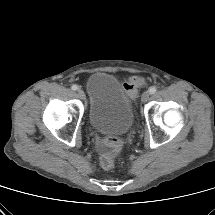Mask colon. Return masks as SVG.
Segmentation results:
<instances>
[{"mask_svg":"<svg viewBox=\"0 0 215 215\" xmlns=\"http://www.w3.org/2000/svg\"><path fill=\"white\" fill-rule=\"evenodd\" d=\"M143 81L139 77H132L123 84V88L130 98H135ZM108 151L100 157V165L103 169L110 170L115 165V158L122 148V141L117 137H108L104 141Z\"/></svg>","mask_w":215,"mask_h":215,"instance_id":"1","label":"colon"}]
</instances>
